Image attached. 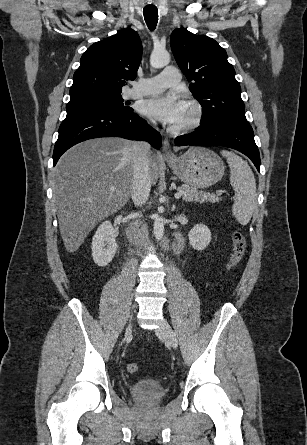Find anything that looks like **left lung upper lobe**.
Wrapping results in <instances>:
<instances>
[{
    "instance_id": "1",
    "label": "left lung upper lobe",
    "mask_w": 307,
    "mask_h": 445,
    "mask_svg": "<svg viewBox=\"0 0 307 445\" xmlns=\"http://www.w3.org/2000/svg\"><path fill=\"white\" fill-rule=\"evenodd\" d=\"M171 49L203 110L201 125L218 120L246 121L241 88L226 51L212 38L185 28L171 34Z\"/></svg>"
}]
</instances>
